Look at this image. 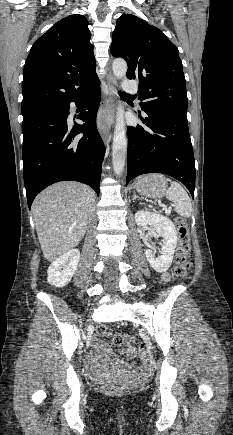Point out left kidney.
Instances as JSON below:
<instances>
[{
  "mask_svg": "<svg viewBox=\"0 0 233 435\" xmlns=\"http://www.w3.org/2000/svg\"><path fill=\"white\" fill-rule=\"evenodd\" d=\"M135 222L138 226L150 225L155 233L163 238L161 255L155 257L152 249H146L145 255L150 266L157 272H165L170 267L175 248L177 245V230L169 218L147 210H139L135 213Z\"/></svg>",
  "mask_w": 233,
  "mask_h": 435,
  "instance_id": "left-kidney-1",
  "label": "left kidney"
}]
</instances>
